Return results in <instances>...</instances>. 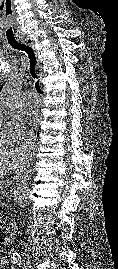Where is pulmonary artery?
I'll use <instances>...</instances> for the list:
<instances>
[{
    "label": "pulmonary artery",
    "instance_id": "obj_1",
    "mask_svg": "<svg viewBox=\"0 0 118 269\" xmlns=\"http://www.w3.org/2000/svg\"><path fill=\"white\" fill-rule=\"evenodd\" d=\"M26 103L30 106L37 105L39 103V98L36 96H28L26 99Z\"/></svg>",
    "mask_w": 118,
    "mask_h": 269
}]
</instances>
